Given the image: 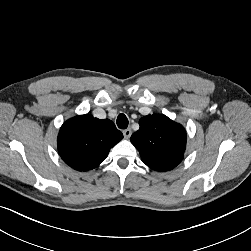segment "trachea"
Masks as SVG:
<instances>
[{"instance_id": "3493384b", "label": "trachea", "mask_w": 251, "mask_h": 251, "mask_svg": "<svg viewBox=\"0 0 251 251\" xmlns=\"http://www.w3.org/2000/svg\"><path fill=\"white\" fill-rule=\"evenodd\" d=\"M128 119L125 114L120 113L117 117V126L120 129H126L128 127Z\"/></svg>"}]
</instances>
